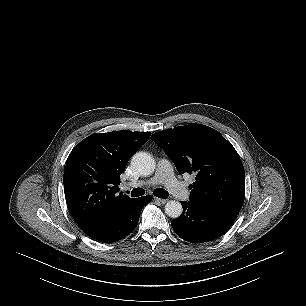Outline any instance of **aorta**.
I'll return each instance as SVG.
<instances>
[{
  "label": "aorta",
  "instance_id": "aorta-1",
  "mask_svg": "<svg viewBox=\"0 0 306 306\" xmlns=\"http://www.w3.org/2000/svg\"><path fill=\"white\" fill-rule=\"evenodd\" d=\"M133 168L143 176H148L152 174L155 170V160L154 158L145 152L135 153L131 160ZM183 211L180 202L171 200L165 205V213L171 218H178L181 216Z\"/></svg>",
  "mask_w": 306,
  "mask_h": 306
}]
</instances>
